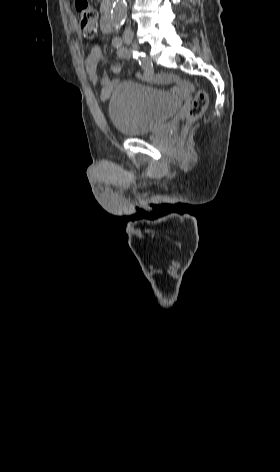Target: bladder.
I'll return each mask as SVG.
<instances>
[{
	"instance_id": "bladder-1",
	"label": "bladder",
	"mask_w": 280,
	"mask_h": 472,
	"mask_svg": "<svg viewBox=\"0 0 280 472\" xmlns=\"http://www.w3.org/2000/svg\"><path fill=\"white\" fill-rule=\"evenodd\" d=\"M179 102L167 91L135 82L117 85L109 102V115L115 128L126 136L148 134L166 122Z\"/></svg>"
}]
</instances>
